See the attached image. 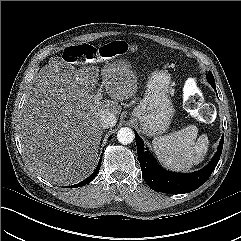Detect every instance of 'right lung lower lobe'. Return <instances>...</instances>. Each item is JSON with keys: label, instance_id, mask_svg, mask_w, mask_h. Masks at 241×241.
I'll return each mask as SVG.
<instances>
[{"label": "right lung lower lobe", "instance_id": "obj_1", "mask_svg": "<svg viewBox=\"0 0 241 241\" xmlns=\"http://www.w3.org/2000/svg\"><path fill=\"white\" fill-rule=\"evenodd\" d=\"M100 166H101V160H99V163H98L96 169L89 177H87L85 180H83L82 182H80L76 185L69 186V188H77V187L85 186L86 184L90 183L98 174Z\"/></svg>", "mask_w": 241, "mask_h": 241}]
</instances>
